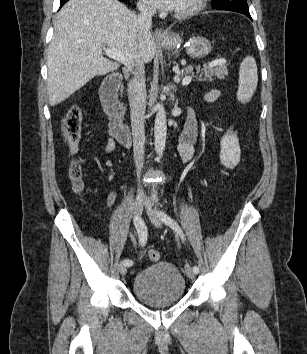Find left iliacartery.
<instances>
[{"label": "left iliac artery", "instance_id": "obj_1", "mask_svg": "<svg viewBox=\"0 0 307 354\" xmlns=\"http://www.w3.org/2000/svg\"><path fill=\"white\" fill-rule=\"evenodd\" d=\"M158 215L160 217V220L164 222L166 225H168L169 227H171L174 231H176L180 235L181 239L184 241L183 232L179 227V225L174 221V219L164 212H158ZM192 270L195 274L199 273V268L197 266H193Z\"/></svg>", "mask_w": 307, "mask_h": 354}]
</instances>
